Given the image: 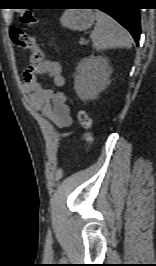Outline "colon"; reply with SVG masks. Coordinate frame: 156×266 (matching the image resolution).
<instances>
[{"mask_svg":"<svg viewBox=\"0 0 156 266\" xmlns=\"http://www.w3.org/2000/svg\"><path fill=\"white\" fill-rule=\"evenodd\" d=\"M21 22L26 26H32L36 24L37 19L32 12L25 11L21 16ZM10 35L13 43L18 48L29 50L31 52L30 55L31 65H37L43 61L44 58L43 51L36 44L32 36H30L29 34H27L22 29L19 28L12 29ZM77 118L80 125L85 130L83 134V140L85 141L87 148H89L93 143V135L91 133V128L93 124L92 119L89 116V114L83 109L77 111Z\"/></svg>","mask_w":156,"mask_h":266,"instance_id":"5ec220e1","label":"colon"}]
</instances>
